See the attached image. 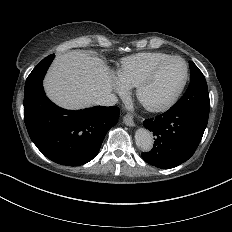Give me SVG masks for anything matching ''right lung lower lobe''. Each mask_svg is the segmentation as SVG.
Wrapping results in <instances>:
<instances>
[{
	"label": "right lung lower lobe",
	"mask_w": 232,
	"mask_h": 232,
	"mask_svg": "<svg viewBox=\"0 0 232 232\" xmlns=\"http://www.w3.org/2000/svg\"><path fill=\"white\" fill-rule=\"evenodd\" d=\"M54 57L44 58L26 80L24 121L43 155L61 165L79 166L98 154L106 133L117 124L120 110L116 106H96L69 111L52 103L42 82Z\"/></svg>",
	"instance_id": "98d812e1"
}]
</instances>
